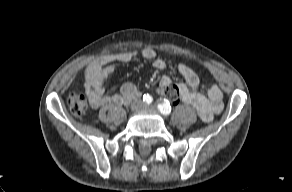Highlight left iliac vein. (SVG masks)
I'll return each instance as SVG.
<instances>
[{
  "instance_id": "4c4485c4",
  "label": "left iliac vein",
  "mask_w": 292,
  "mask_h": 192,
  "mask_svg": "<svg viewBox=\"0 0 292 192\" xmlns=\"http://www.w3.org/2000/svg\"><path fill=\"white\" fill-rule=\"evenodd\" d=\"M145 108L150 109V110H155V109H156L155 106H147V107H145Z\"/></svg>"
}]
</instances>
